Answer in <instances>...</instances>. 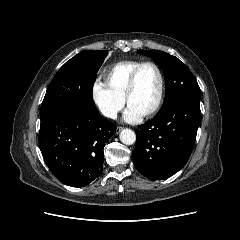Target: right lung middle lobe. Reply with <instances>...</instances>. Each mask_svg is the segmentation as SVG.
Returning <instances> with one entry per match:
<instances>
[{"label": "right lung middle lobe", "mask_w": 240, "mask_h": 240, "mask_svg": "<svg viewBox=\"0 0 240 240\" xmlns=\"http://www.w3.org/2000/svg\"><path fill=\"white\" fill-rule=\"evenodd\" d=\"M107 54L105 50H86L68 60L48 86L40 114L57 107L97 111L92 89Z\"/></svg>", "instance_id": "right-lung-middle-lobe-1"}]
</instances>
